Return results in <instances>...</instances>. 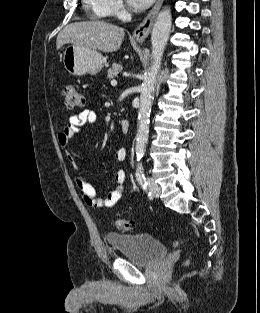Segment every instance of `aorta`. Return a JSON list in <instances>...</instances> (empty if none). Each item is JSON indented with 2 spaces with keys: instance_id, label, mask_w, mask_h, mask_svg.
<instances>
[{
  "instance_id": "1",
  "label": "aorta",
  "mask_w": 260,
  "mask_h": 313,
  "mask_svg": "<svg viewBox=\"0 0 260 313\" xmlns=\"http://www.w3.org/2000/svg\"><path fill=\"white\" fill-rule=\"evenodd\" d=\"M172 25L170 8L159 12L151 34L152 64L140 88V105L138 111V129L136 134L135 152L137 160L145 154V147L149 135V117L151 102L155 90L158 71L161 67L163 53L169 39Z\"/></svg>"
}]
</instances>
